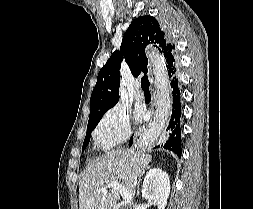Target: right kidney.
<instances>
[{"label":"right kidney","mask_w":253,"mask_h":209,"mask_svg":"<svg viewBox=\"0 0 253 209\" xmlns=\"http://www.w3.org/2000/svg\"><path fill=\"white\" fill-rule=\"evenodd\" d=\"M170 193V180L160 168L151 169L145 176L142 186V197L152 200L158 209H165Z\"/></svg>","instance_id":"ca27d5eb"}]
</instances>
